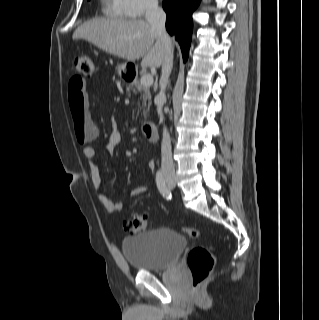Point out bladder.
<instances>
[{"label": "bladder", "instance_id": "bladder-1", "mask_svg": "<svg viewBox=\"0 0 319 320\" xmlns=\"http://www.w3.org/2000/svg\"><path fill=\"white\" fill-rule=\"evenodd\" d=\"M186 247L183 234L161 228L124 238L122 253L133 269L154 272L175 265Z\"/></svg>", "mask_w": 319, "mask_h": 320}]
</instances>
